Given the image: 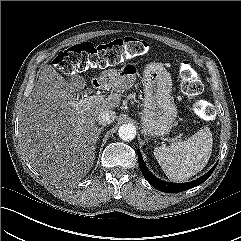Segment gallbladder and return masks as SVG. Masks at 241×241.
Masks as SVG:
<instances>
[{
	"instance_id": "gallbladder-1",
	"label": "gallbladder",
	"mask_w": 241,
	"mask_h": 241,
	"mask_svg": "<svg viewBox=\"0 0 241 241\" xmlns=\"http://www.w3.org/2000/svg\"><path fill=\"white\" fill-rule=\"evenodd\" d=\"M73 82H75L77 84L78 90H82L84 88V86L86 85L84 78H82L80 76H74Z\"/></svg>"
}]
</instances>
